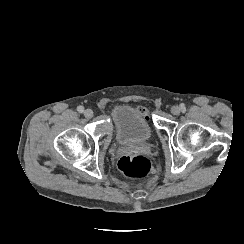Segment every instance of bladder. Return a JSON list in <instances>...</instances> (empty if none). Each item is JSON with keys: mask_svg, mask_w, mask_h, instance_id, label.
I'll return each instance as SVG.
<instances>
[{"mask_svg": "<svg viewBox=\"0 0 244 244\" xmlns=\"http://www.w3.org/2000/svg\"><path fill=\"white\" fill-rule=\"evenodd\" d=\"M114 134L121 145L147 143L152 136V128L145 116L130 106L121 105L113 112Z\"/></svg>", "mask_w": 244, "mask_h": 244, "instance_id": "bladder-1", "label": "bladder"}]
</instances>
